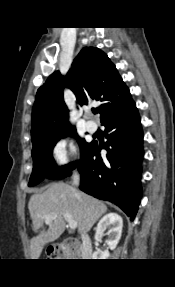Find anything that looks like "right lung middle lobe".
<instances>
[{
	"label": "right lung middle lobe",
	"mask_w": 175,
	"mask_h": 287,
	"mask_svg": "<svg viewBox=\"0 0 175 287\" xmlns=\"http://www.w3.org/2000/svg\"><path fill=\"white\" fill-rule=\"evenodd\" d=\"M69 135L77 137V141L81 147L80 161L84 159L92 142L87 143L83 139H80L78 135L75 134L74 128L59 132L50 137L37 141L33 143V149H32L33 172L31 174L28 186L37 185L44 178L59 179L67 175L69 172H71L80 164V161H77L64 165L62 167H55V162L54 159L52 158L53 147L60 138Z\"/></svg>",
	"instance_id": "1"
}]
</instances>
